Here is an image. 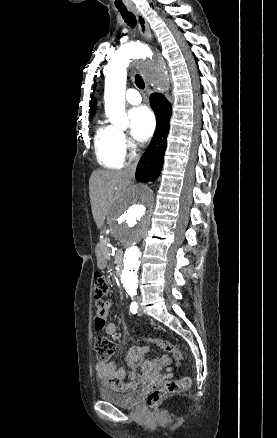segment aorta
<instances>
[{
    "label": "aorta",
    "mask_w": 277,
    "mask_h": 438,
    "mask_svg": "<svg viewBox=\"0 0 277 438\" xmlns=\"http://www.w3.org/2000/svg\"><path fill=\"white\" fill-rule=\"evenodd\" d=\"M151 50L142 43L123 45L107 65L105 78V113L109 121L118 127H127L125 112L126 68L133 59L150 57ZM154 84L164 88L167 73L162 67L147 71ZM153 220V193L145 184L127 190L115 203L110 213V230L118 246L124 252L121 282L128 294L138 287L137 271L140 264V246L147 236Z\"/></svg>",
    "instance_id": "762f6f07"
}]
</instances>
